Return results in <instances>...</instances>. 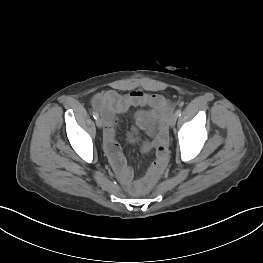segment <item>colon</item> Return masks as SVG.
<instances>
[{
  "mask_svg": "<svg viewBox=\"0 0 263 263\" xmlns=\"http://www.w3.org/2000/svg\"><path fill=\"white\" fill-rule=\"evenodd\" d=\"M156 177V174H148V177L146 180H141L135 184V186L132 188L134 191L144 187L147 182L151 181Z\"/></svg>",
  "mask_w": 263,
  "mask_h": 263,
  "instance_id": "5ec220e1",
  "label": "colon"
}]
</instances>
